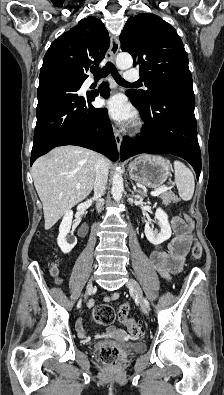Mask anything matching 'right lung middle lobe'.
<instances>
[{"label":"right lung middle lobe","instance_id":"dd1d6c3e","mask_svg":"<svg viewBox=\"0 0 224 395\" xmlns=\"http://www.w3.org/2000/svg\"><path fill=\"white\" fill-rule=\"evenodd\" d=\"M52 71L55 72L56 74L60 75V76H63L65 78L69 79L71 82H73V83H75L77 85H81L84 82V80H85L83 78H78V77L69 75V74H67V73H65L63 71H59V70H52Z\"/></svg>","mask_w":224,"mask_h":395}]
</instances>
